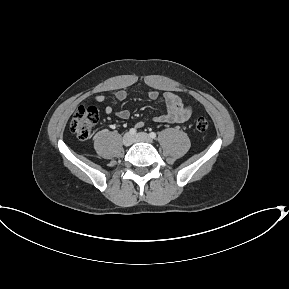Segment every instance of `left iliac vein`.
<instances>
[{
	"instance_id": "obj_1",
	"label": "left iliac vein",
	"mask_w": 289,
	"mask_h": 289,
	"mask_svg": "<svg viewBox=\"0 0 289 289\" xmlns=\"http://www.w3.org/2000/svg\"><path fill=\"white\" fill-rule=\"evenodd\" d=\"M135 142H145V143H149L152 144L153 140L151 139V137L144 132H140L137 133L134 137H133Z\"/></svg>"
}]
</instances>
